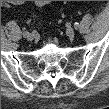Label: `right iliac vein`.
I'll return each instance as SVG.
<instances>
[{"instance_id": "right-iliac-vein-1", "label": "right iliac vein", "mask_w": 109, "mask_h": 109, "mask_svg": "<svg viewBox=\"0 0 109 109\" xmlns=\"http://www.w3.org/2000/svg\"><path fill=\"white\" fill-rule=\"evenodd\" d=\"M25 38L28 40V41H32L35 39V35L32 34V33H28Z\"/></svg>"}]
</instances>
